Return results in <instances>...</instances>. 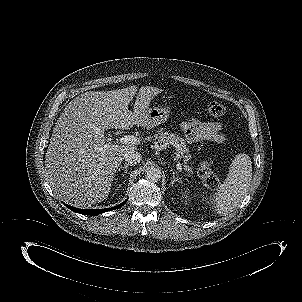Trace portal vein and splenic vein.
<instances>
[{
	"label": "portal vein and splenic vein",
	"mask_w": 302,
	"mask_h": 302,
	"mask_svg": "<svg viewBox=\"0 0 302 302\" xmlns=\"http://www.w3.org/2000/svg\"><path fill=\"white\" fill-rule=\"evenodd\" d=\"M119 143L121 144H139L140 143V139L138 137H135V136H132V135H125V136H122L121 138H119L118 140ZM177 169L181 170V164L178 163L176 165Z\"/></svg>",
	"instance_id": "1"
}]
</instances>
